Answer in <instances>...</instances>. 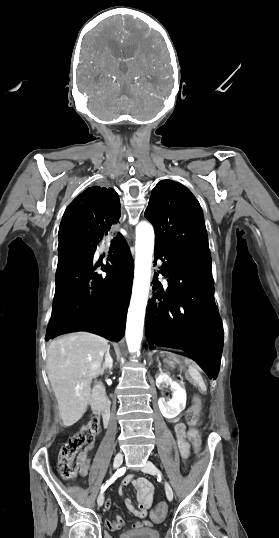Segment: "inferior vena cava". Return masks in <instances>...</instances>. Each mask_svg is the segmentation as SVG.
I'll return each instance as SVG.
<instances>
[{
	"label": "inferior vena cava",
	"mask_w": 279,
	"mask_h": 538,
	"mask_svg": "<svg viewBox=\"0 0 279 538\" xmlns=\"http://www.w3.org/2000/svg\"><path fill=\"white\" fill-rule=\"evenodd\" d=\"M117 455H120V456H122V455H121L120 453H119V454H117ZM117 455H116V456H117Z\"/></svg>",
	"instance_id": "inferior-vena-cava-1"
}]
</instances>
